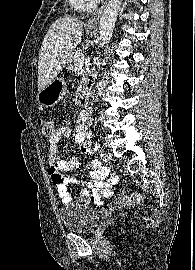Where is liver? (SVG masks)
Here are the masks:
<instances>
[{"label": "liver", "mask_w": 195, "mask_h": 270, "mask_svg": "<svg viewBox=\"0 0 195 270\" xmlns=\"http://www.w3.org/2000/svg\"><path fill=\"white\" fill-rule=\"evenodd\" d=\"M84 23L71 16L58 18L48 29L38 60V91L53 81L82 38Z\"/></svg>", "instance_id": "obj_1"}]
</instances>
